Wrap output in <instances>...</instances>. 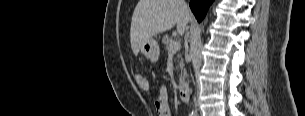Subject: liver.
I'll return each instance as SVG.
<instances>
[{"instance_id": "obj_1", "label": "liver", "mask_w": 305, "mask_h": 116, "mask_svg": "<svg viewBox=\"0 0 305 116\" xmlns=\"http://www.w3.org/2000/svg\"><path fill=\"white\" fill-rule=\"evenodd\" d=\"M191 19L185 0H139L133 12L130 41L135 56L148 39L172 29L183 34Z\"/></svg>"}]
</instances>
